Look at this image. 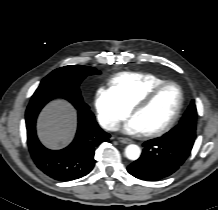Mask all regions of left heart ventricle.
<instances>
[{
  "label": "left heart ventricle",
  "instance_id": "1",
  "mask_svg": "<svg viewBox=\"0 0 218 210\" xmlns=\"http://www.w3.org/2000/svg\"><path fill=\"white\" fill-rule=\"evenodd\" d=\"M179 103V92L176 86L163 88L154 100L133 116L142 132L153 131L166 125L173 117Z\"/></svg>",
  "mask_w": 218,
  "mask_h": 210
}]
</instances>
